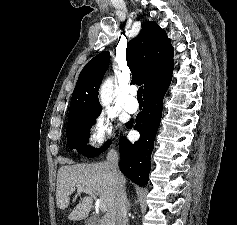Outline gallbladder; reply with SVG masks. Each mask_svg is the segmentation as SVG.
Listing matches in <instances>:
<instances>
[{"instance_id":"1","label":"gallbladder","mask_w":237,"mask_h":225,"mask_svg":"<svg viewBox=\"0 0 237 225\" xmlns=\"http://www.w3.org/2000/svg\"><path fill=\"white\" fill-rule=\"evenodd\" d=\"M98 223H99L98 218H91L87 220L86 225H99Z\"/></svg>"}]
</instances>
